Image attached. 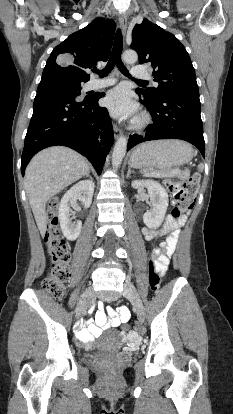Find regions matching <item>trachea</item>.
<instances>
[{
    "mask_svg": "<svg viewBox=\"0 0 233 414\" xmlns=\"http://www.w3.org/2000/svg\"><path fill=\"white\" fill-rule=\"evenodd\" d=\"M122 48H123V37H122L121 30L118 29L116 34H115L113 50H112L110 59H109L107 65H106V67L102 70H94V72L99 74V76L101 78H103V77L107 76L113 70V68L116 65L123 75L131 78V75L129 74L128 70L126 69V67L124 66V64L121 60ZM132 79L135 80L136 82L147 84V81L137 80V79H134V78H132Z\"/></svg>",
    "mask_w": 233,
    "mask_h": 414,
    "instance_id": "1",
    "label": "trachea"
}]
</instances>
